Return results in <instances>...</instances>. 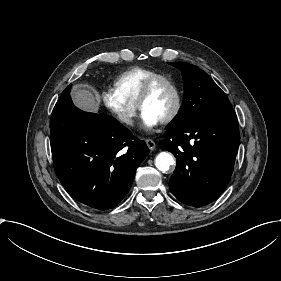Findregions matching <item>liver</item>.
<instances>
[{"label":"liver","mask_w":281,"mask_h":281,"mask_svg":"<svg viewBox=\"0 0 281 281\" xmlns=\"http://www.w3.org/2000/svg\"><path fill=\"white\" fill-rule=\"evenodd\" d=\"M71 97L74 104L88 112L97 113L99 110V102L96 96L89 89L84 87H74L71 91Z\"/></svg>","instance_id":"6515ba94"}]
</instances>
